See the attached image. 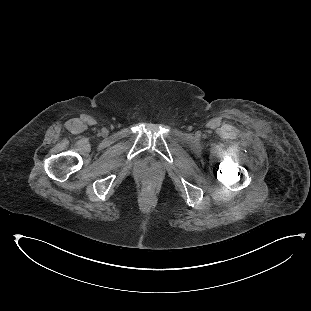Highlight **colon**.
Listing matches in <instances>:
<instances>
[{
    "instance_id": "obj_1",
    "label": "colon",
    "mask_w": 311,
    "mask_h": 311,
    "mask_svg": "<svg viewBox=\"0 0 311 311\" xmlns=\"http://www.w3.org/2000/svg\"><path fill=\"white\" fill-rule=\"evenodd\" d=\"M143 190L146 193H153L156 190V183L153 180H146L143 183Z\"/></svg>"
}]
</instances>
